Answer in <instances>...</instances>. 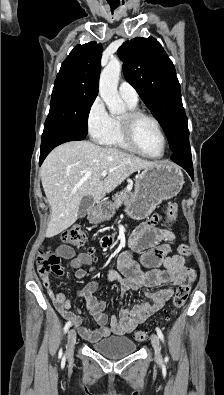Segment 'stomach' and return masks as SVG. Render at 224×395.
<instances>
[{
    "label": "stomach",
    "mask_w": 224,
    "mask_h": 395,
    "mask_svg": "<svg viewBox=\"0 0 224 395\" xmlns=\"http://www.w3.org/2000/svg\"><path fill=\"white\" fill-rule=\"evenodd\" d=\"M183 184V174L173 163L162 161L147 167L137 175L135 191L125 204V211L133 219L147 218L162 201L176 196ZM113 214L110 204L103 203L95 209L90 219L93 223H101Z\"/></svg>",
    "instance_id": "1"
}]
</instances>
